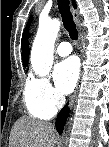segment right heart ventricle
<instances>
[{
	"label": "right heart ventricle",
	"mask_w": 109,
	"mask_h": 147,
	"mask_svg": "<svg viewBox=\"0 0 109 147\" xmlns=\"http://www.w3.org/2000/svg\"><path fill=\"white\" fill-rule=\"evenodd\" d=\"M25 106H26L27 112L34 118L47 119L53 116V114L46 112L45 110H43L41 107L33 103L28 98H26L25 100Z\"/></svg>",
	"instance_id": "right-heart-ventricle-1"
}]
</instances>
